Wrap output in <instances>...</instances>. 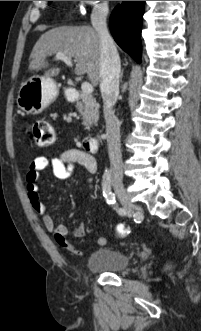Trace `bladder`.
Segmentation results:
<instances>
[{"instance_id": "31cf9c89", "label": "bladder", "mask_w": 201, "mask_h": 331, "mask_svg": "<svg viewBox=\"0 0 201 331\" xmlns=\"http://www.w3.org/2000/svg\"><path fill=\"white\" fill-rule=\"evenodd\" d=\"M129 264V255L121 250L98 248L90 253L85 266L90 271L122 273Z\"/></svg>"}]
</instances>
